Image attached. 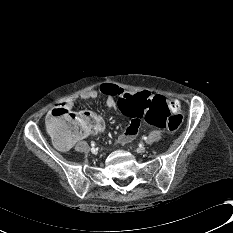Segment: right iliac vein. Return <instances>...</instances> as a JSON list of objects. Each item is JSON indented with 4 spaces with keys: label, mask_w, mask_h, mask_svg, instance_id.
<instances>
[{
    "label": "right iliac vein",
    "mask_w": 233,
    "mask_h": 233,
    "mask_svg": "<svg viewBox=\"0 0 233 233\" xmlns=\"http://www.w3.org/2000/svg\"><path fill=\"white\" fill-rule=\"evenodd\" d=\"M91 152L93 153V154H96L97 153V149H91Z\"/></svg>",
    "instance_id": "right-iliac-vein-1"
}]
</instances>
